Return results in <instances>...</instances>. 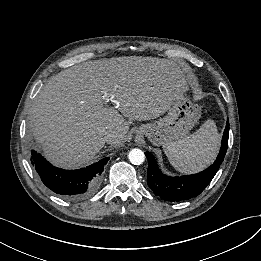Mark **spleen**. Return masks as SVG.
<instances>
[{"mask_svg": "<svg viewBox=\"0 0 261 261\" xmlns=\"http://www.w3.org/2000/svg\"><path fill=\"white\" fill-rule=\"evenodd\" d=\"M220 135L213 120H207L195 133L186 138L163 145L172 166L182 173L204 169L215 159Z\"/></svg>", "mask_w": 261, "mask_h": 261, "instance_id": "3e777b00", "label": "spleen"}]
</instances>
